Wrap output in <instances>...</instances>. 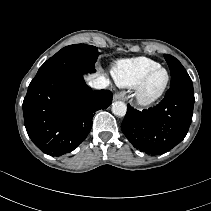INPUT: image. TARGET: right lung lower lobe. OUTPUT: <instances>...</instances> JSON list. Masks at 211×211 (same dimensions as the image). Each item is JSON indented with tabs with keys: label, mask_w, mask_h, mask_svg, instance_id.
Wrapping results in <instances>:
<instances>
[{
	"label": "right lung lower lobe",
	"mask_w": 211,
	"mask_h": 211,
	"mask_svg": "<svg viewBox=\"0 0 211 211\" xmlns=\"http://www.w3.org/2000/svg\"><path fill=\"white\" fill-rule=\"evenodd\" d=\"M111 102V91H93L81 74L37 76L23 101L24 124L40 150L61 156L85 140L95 112L108 108Z\"/></svg>",
	"instance_id": "98d812e1"
}]
</instances>
